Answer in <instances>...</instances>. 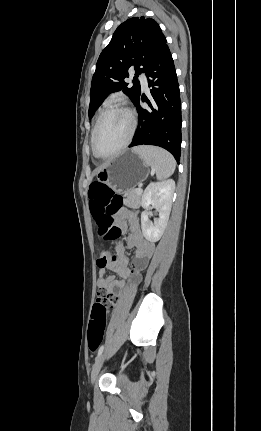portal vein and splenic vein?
<instances>
[{
    "label": "portal vein and splenic vein",
    "instance_id": "18ae733b",
    "mask_svg": "<svg viewBox=\"0 0 261 431\" xmlns=\"http://www.w3.org/2000/svg\"><path fill=\"white\" fill-rule=\"evenodd\" d=\"M137 192H138V193H141V192H142L141 186H139V187L137 188Z\"/></svg>",
    "mask_w": 261,
    "mask_h": 431
}]
</instances>
